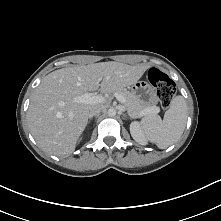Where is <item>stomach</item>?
Masks as SVG:
<instances>
[{"label":"stomach","instance_id":"0dacf381","mask_svg":"<svg viewBox=\"0 0 221 221\" xmlns=\"http://www.w3.org/2000/svg\"><path fill=\"white\" fill-rule=\"evenodd\" d=\"M131 93L137 97L142 105L150 106L154 104L153 88L146 81H136L130 86Z\"/></svg>","mask_w":221,"mask_h":221}]
</instances>
